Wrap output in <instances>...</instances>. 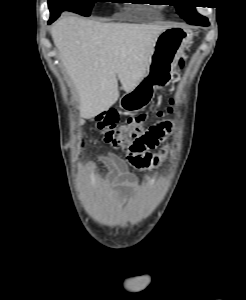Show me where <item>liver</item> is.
Wrapping results in <instances>:
<instances>
[{"mask_svg": "<svg viewBox=\"0 0 246 300\" xmlns=\"http://www.w3.org/2000/svg\"><path fill=\"white\" fill-rule=\"evenodd\" d=\"M167 28L75 16L64 17L52 27L53 42L78 93L82 118H92L116 103L118 79L126 92L138 85L158 36Z\"/></svg>", "mask_w": 246, "mask_h": 300, "instance_id": "liver-1", "label": "liver"}]
</instances>
